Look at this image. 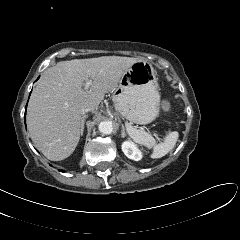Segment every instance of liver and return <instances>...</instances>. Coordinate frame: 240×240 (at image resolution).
I'll return each mask as SVG.
<instances>
[{
    "instance_id": "obj_1",
    "label": "liver",
    "mask_w": 240,
    "mask_h": 240,
    "mask_svg": "<svg viewBox=\"0 0 240 240\" xmlns=\"http://www.w3.org/2000/svg\"><path fill=\"white\" fill-rule=\"evenodd\" d=\"M137 61L120 56L74 59L58 62L44 72L29 100L27 127L46 158L61 161L74 152L82 133L81 109L94 111ZM89 79L90 90H85Z\"/></svg>"
}]
</instances>
